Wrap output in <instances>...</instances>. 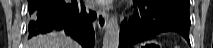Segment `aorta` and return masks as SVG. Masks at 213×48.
I'll list each match as a JSON object with an SVG mask.
<instances>
[{"label":"aorta","instance_id":"aorta-1","mask_svg":"<svg viewBox=\"0 0 213 48\" xmlns=\"http://www.w3.org/2000/svg\"><path fill=\"white\" fill-rule=\"evenodd\" d=\"M120 27L116 15H112L107 23L103 37V48H118Z\"/></svg>","mask_w":213,"mask_h":48}]
</instances>
